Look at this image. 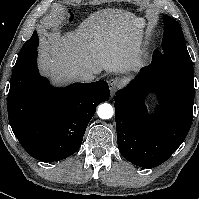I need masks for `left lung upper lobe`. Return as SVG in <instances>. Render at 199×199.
Listing matches in <instances>:
<instances>
[{"mask_svg":"<svg viewBox=\"0 0 199 199\" xmlns=\"http://www.w3.org/2000/svg\"><path fill=\"white\" fill-rule=\"evenodd\" d=\"M164 22L162 51H155L154 60L160 63H173L193 70V63L187 51L180 24L168 15H164Z\"/></svg>","mask_w":199,"mask_h":199,"instance_id":"left-lung-upper-lobe-1","label":"left lung upper lobe"}]
</instances>
